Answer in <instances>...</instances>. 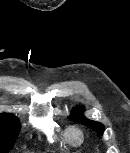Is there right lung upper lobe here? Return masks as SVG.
I'll use <instances>...</instances> for the list:
<instances>
[{
  "label": "right lung upper lobe",
  "instance_id": "cb5924a9",
  "mask_svg": "<svg viewBox=\"0 0 130 153\" xmlns=\"http://www.w3.org/2000/svg\"><path fill=\"white\" fill-rule=\"evenodd\" d=\"M2 115H10V116H14V115H12V114H9V113H1ZM0 114V115H1Z\"/></svg>",
  "mask_w": 130,
  "mask_h": 153
}]
</instances>
